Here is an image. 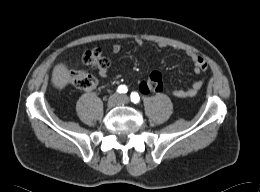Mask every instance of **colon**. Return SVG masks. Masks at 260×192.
I'll use <instances>...</instances> for the list:
<instances>
[{
	"label": "colon",
	"mask_w": 260,
	"mask_h": 192,
	"mask_svg": "<svg viewBox=\"0 0 260 192\" xmlns=\"http://www.w3.org/2000/svg\"><path fill=\"white\" fill-rule=\"evenodd\" d=\"M83 62L93 69H101L109 66V60L103 56L99 49L86 51L82 56ZM68 80L83 91H90L96 87V79L86 71L70 70ZM145 94L157 93L163 90V80L159 72H152L144 82Z\"/></svg>",
	"instance_id": "1"
}]
</instances>
